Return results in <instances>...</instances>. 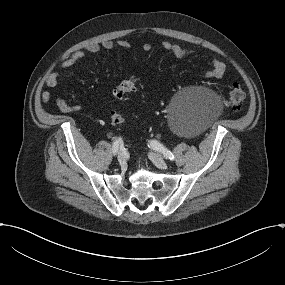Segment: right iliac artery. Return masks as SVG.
<instances>
[{"label":"right iliac artery","instance_id":"right-iliac-artery-1","mask_svg":"<svg viewBox=\"0 0 285 285\" xmlns=\"http://www.w3.org/2000/svg\"><path fill=\"white\" fill-rule=\"evenodd\" d=\"M122 143H123L122 138H118L113 142L112 153L114 156L117 155V153L119 151V147H122Z\"/></svg>","mask_w":285,"mask_h":285}]
</instances>
